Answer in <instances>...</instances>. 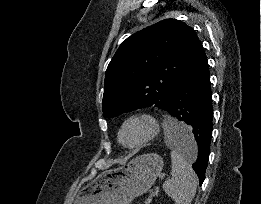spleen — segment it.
<instances>
[{
  "instance_id": "1",
  "label": "spleen",
  "mask_w": 261,
  "mask_h": 204,
  "mask_svg": "<svg viewBox=\"0 0 261 204\" xmlns=\"http://www.w3.org/2000/svg\"><path fill=\"white\" fill-rule=\"evenodd\" d=\"M188 133V127L172 120L169 124L165 125V133L169 140L170 146L172 145V133ZM176 136V135H175ZM172 169L171 179H168L163 184L165 193L173 199L175 204H191L197 188V177L191 165L184 159L175 148L172 147L171 151Z\"/></svg>"
}]
</instances>
